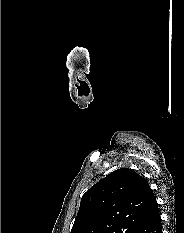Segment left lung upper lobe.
<instances>
[{"instance_id": "left-lung-upper-lobe-1", "label": "left lung upper lobe", "mask_w": 184, "mask_h": 233, "mask_svg": "<svg viewBox=\"0 0 184 233\" xmlns=\"http://www.w3.org/2000/svg\"><path fill=\"white\" fill-rule=\"evenodd\" d=\"M153 198L144 177L115 170L82 196L71 233H136Z\"/></svg>"}]
</instances>
